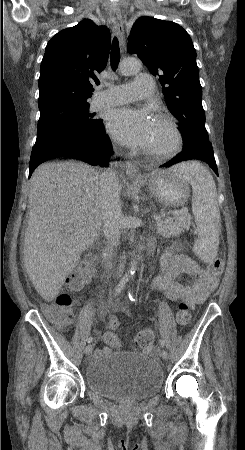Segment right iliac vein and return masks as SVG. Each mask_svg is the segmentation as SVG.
Segmentation results:
<instances>
[{
  "instance_id": "obj_1",
  "label": "right iliac vein",
  "mask_w": 245,
  "mask_h": 450,
  "mask_svg": "<svg viewBox=\"0 0 245 450\" xmlns=\"http://www.w3.org/2000/svg\"><path fill=\"white\" fill-rule=\"evenodd\" d=\"M92 350H93V346H92V345H88V346L86 347V349H85V353H86L87 355H89V354L92 353Z\"/></svg>"
}]
</instances>
